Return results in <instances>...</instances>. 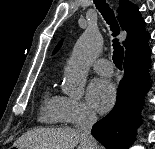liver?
I'll use <instances>...</instances> for the list:
<instances>
[{"label":"liver","instance_id":"6515ba94","mask_svg":"<svg viewBox=\"0 0 155 149\" xmlns=\"http://www.w3.org/2000/svg\"><path fill=\"white\" fill-rule=\"evenodd\" d=\"M88 149L79 129L36 128L19 137L13 144L18 149Z\"/></svg>","mask_w":155,"mask_h":149}]
</instances>
